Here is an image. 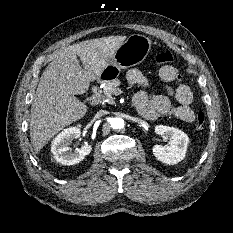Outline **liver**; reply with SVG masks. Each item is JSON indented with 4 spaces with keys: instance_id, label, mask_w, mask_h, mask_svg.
<instances>
[{
    "instance_id": "obj_1",
    "label": "liver",
    "mask_w": 233,
    "mask_h": 233,
    "mask_svg": "<svg viewBox=\"0 0 233 233\" xmlns=\"http://www.w3.org/2000/svg\"><path fill=\"white\" fill-rule=\"evenodd\" d=\"M125 39L110 36L64 47L47 66L31 106L29 129L35 153L64 127L85 116L88 106L75 95L86 93L90 83L99 79Z\"/></svg>"
}]
</instances>
